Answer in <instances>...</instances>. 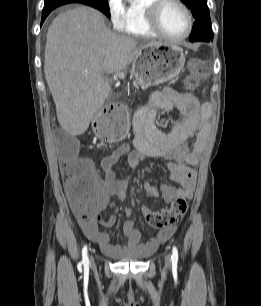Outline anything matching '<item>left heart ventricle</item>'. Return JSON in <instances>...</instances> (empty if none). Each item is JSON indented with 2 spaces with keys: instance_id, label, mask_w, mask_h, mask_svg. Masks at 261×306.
Wrapping results in <instances>:
<instances>
[{
  "instance_id": "1",
  "label": "left heart ventricle",
  "mask_w": 261,
  "mask_h": 306,
  "mask_svg": "<svg viewBox=\"0 0 261 306\" xmlns=\"http://www.w3.org/2000/svg\"><path fill=\"white\" fill-rule=\"evenodd\" d=\"M159 23L165 33L173 37L182 36L187 30V19L183 10L174 3H166L159 12Z\"/></svg>"
}]
</instances>
